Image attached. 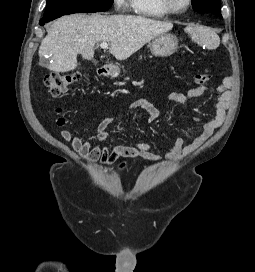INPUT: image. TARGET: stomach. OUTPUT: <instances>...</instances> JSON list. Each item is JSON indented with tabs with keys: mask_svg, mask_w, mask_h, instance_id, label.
Wrapping results in <instances>:
<instances>
[{
	"mask_svg": "<svg viewBox=\"0 0 255 272\" xmlns=\"http://www.w3.org/2000/svg\"><path fill=\"white\" fill-rule=\"evenodd\" d=\"M178 48V39L170 33H163L156 36L150 43V51L155 57H168L172 55ZM111 75L117 77L120 69L117 66L110 68Z\"/></svg>",
	"mask_w": 255,
	"mask_h": 272,
	"instance_id": "1",
	"label": "stomach"
}]
</instances>
